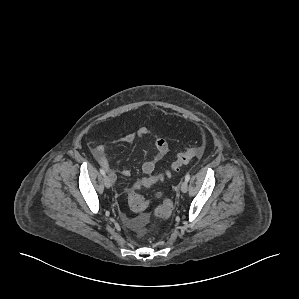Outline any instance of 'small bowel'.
Here are the masks:
<instances>
[{
  "label": "small bowel",
  "instance_id": "1",
  "mask_svg": "<svg viewBox=\"0 0 299 299\" xmlns=\"http://www.w3.org/2000/svg\"><path fill=\"white\" fill-rule=\"evenodd\" d=\"M149 133L146 127H141L136 131L128 133L124 136L118 137L113 140V143H132L138 138H143ZM168 151V145L165 140L157 139L154 143V152L149 160L143 162L141 168L145 174H151L157 165V163L166 155ZM94 156L101 167H103L110 175L112 181H116V170L109 164V160L106 154V150L103 146H97L94 150ZM122 174L125 176L130 175L128 169L122 170Z\"/></svg>",
  "mask_w": 299,
  "mask_h": 299
}]
</instances>
